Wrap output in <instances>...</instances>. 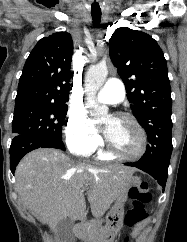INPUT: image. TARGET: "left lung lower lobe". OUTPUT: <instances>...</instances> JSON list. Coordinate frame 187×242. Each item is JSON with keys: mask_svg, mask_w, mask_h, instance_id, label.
I'll use <instances>...</instances> for the list:
<instances>
[{"mask_svg": "<svg viewBox=\"0 0 187 242\" xmlns=\"http://www.w3.org/2000/svg\"><path fill=\"white\" fill-rule=\"evenodd\" d=\"M170 159H155V160H139L133 163H126L125 165L136 167L150 174L156 179L159 185L165 188V183L168 176V167Z\"/></svg>", "mask_w": 187, "mask_h": 242, "instance_id": "obj_1", "label": "left lung lower lobe"}]
</instances>
